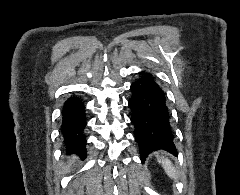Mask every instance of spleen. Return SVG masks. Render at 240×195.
<instances>
[{
	"instance_id": "obj_1",
	"label": "spleen",
	"mask_w": 240,
	"mask_h": 195,
	"mask_svg": "<svg viewBox=\"0 0 240 195\" xmlns=\"http://www.w3.org/2000/svg\"><path fill=\"white\" fill-rule=\"evenodd\" d=\"M159 163H161V165H163L167 175H169V177H178V173L175 169V167H173L170 159H168V157H157Z\"/></svg>"
}]
</instances>
